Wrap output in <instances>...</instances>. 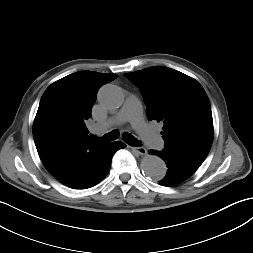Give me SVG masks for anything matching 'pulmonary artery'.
<instances>
[{"label": "pulmonary artery", "mask_w": 253, "mask_h": 253, "mask_svg": "<svg viewBox=\"0 0 253 253\" xmlns=\"http://www.w3.org/2000/svg\"><path fill=\"white\" fill-rule=\"evenodd\" d=\"M125 121H130L133 126L138 129L141 137L148 146L154 149H161L163 147V139L153 130L148 128L142 121V106L138 98L134 96H130L126 99L122 109L116 116L104 123L97 124L94 127V130L98 131L101 128H106Z\"/></svg>", "instance_id": "e3ab8cb5"}]
</instances>
